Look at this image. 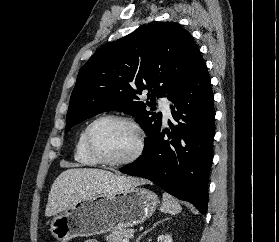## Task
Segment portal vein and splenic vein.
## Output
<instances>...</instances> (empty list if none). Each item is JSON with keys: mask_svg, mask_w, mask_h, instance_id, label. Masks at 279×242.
Listing matches in <instances>:
<instances>
[{"mask_svg": "<svg viewBox=\"0 0 279 242\" xmlns=\"http://www.w3.org/2000/svg\"><path fill=\"white\" fill-rule=\"evenodd\" d=\"M123 242H129L128 238L123 239Z\"/></svg>", "mask_w": 279, "mask_h": 242, "instance_id": "obj_1", "label": "portal vein and splenic vein"}]
</instances>
